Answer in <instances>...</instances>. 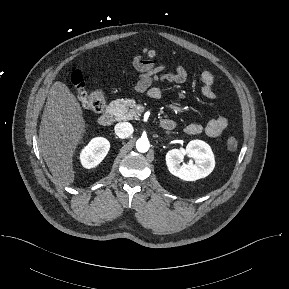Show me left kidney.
Instances as JSON below:
<instances>
[{"instance_id":"obj_1","label":"left kidney","mask_w":289,"mask_h":289,"mask_svg":"<svg viewBox=\"0 0 289 289\" xmlns=\"http://www.w3.org/2000/svg\"><path fill=\"white\" fill-rule=\"evenodd\" d=\"M185 155L195 163L181 165ZM166 165L174 176L185 181H196L208 176L215 167V160L210 146L201 140H192L186 150L172 149L166 154Z\"/></svg>"}]
</instances>
